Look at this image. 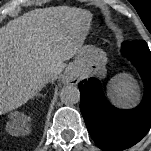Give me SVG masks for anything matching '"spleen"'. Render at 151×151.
<instances>
[{
  "instance_id": "spleen-1",
  "label": "spleen",
  "mask_w": 151,
  "mask_h": 151,
  "mask_svg": "<svg viewBox=\"0 0 151 151\" xmlns=\"http://www.w3.org/2000/svg\"><path fill=\"white\" fill-rule=\"evenodd\" d=\"M137 86L128 74L114 77L108 84V95L119 106H131L138 97Z\"/></svg>"
}]
</instances>
